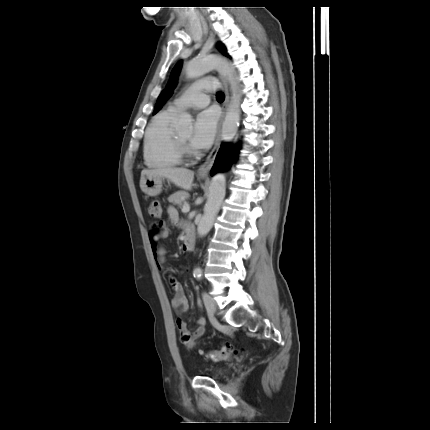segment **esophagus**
<instances>
[{
  "mask_svg": "<svg viewBox=\"0 0 430 430\" xmlns=\"http://www.w3.org/2000/svg\"><path fill=\"white\" fill-rule=\"evenodd\" d=\"M216 75L221 79L223 87H224V92H225V100H224L223 105H222V118H221V123H222L224 120L226 111H227L230 96H229V89H228L227 80L218 71L216 72ZM221 123H220L219 128H218V133H217L214 147L211 150L210 154L208 155L206 161L199 167V169L197 171L198 175H200V176H206L209 173V171L211 170V168L215 162L217 153H218L219 148H220V136H221L220 135V132H221L220 126H221Z\"/></svg>",
  "mask_w": 430,
  "mask_h": 430,
  "instance_id": "34e87169",
  "label": "esophagus"
}]
</instances>
